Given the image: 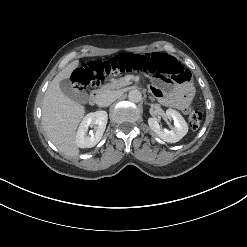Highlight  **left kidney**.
Listing matches in <instances>:
<instances>
[{
	"label": "left kidney",
	"instance_id": "1",
	"mask_svg": "<svg viewBox=\"0 0 247 247\" xmlns=\"http://www.w3.org/2000/svg\"><path fill=\"white\" fill-rule=\"evenodd\" d=\"M166 115L168 119L174 121V126L171 129L162 128L159 125L158 119L151 117L148 119L150 128L160 137L163 141L168 143H175L180 141L188 132V125L182 115L173 109H167Z\"/></svg>",
	"mask_w": 247,
	"mask_h": 247
}]
</instances>
